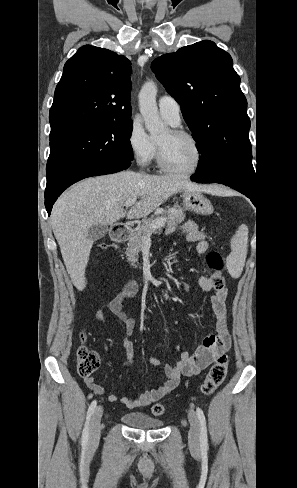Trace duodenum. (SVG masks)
I'll use <instances>...</instances> for the list:
<instances>
[{
  "label": "duodenum",
  "mask_w": 297,
  "mask_h": 488,
  "mask_svg": "<svg viewBox=\"0 0 297 488\" xmlns=\"http://www.w3.org/2000/svg\"><path fill=\"white\" fill-rule=\"evenodd\" d=\"M130 229L124 224H114L110 230L111 239L115 242H123L128 239Z\"/></svg>",
  "instance_id": "1"
}]
</instances>
